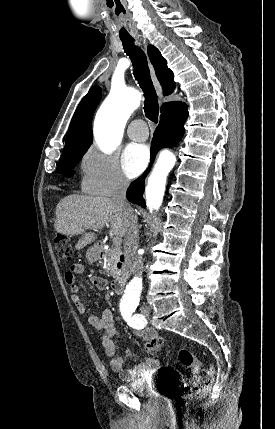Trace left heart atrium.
Here are the masks:
<instances>
[{
  "label": "left heart atrium",
  "mask_w": 275,
  "mask_h": 429,
  "mask_svg": "<svg viewBox=\"0 0 275 429\" xmlns=\"http://www.w3.org/2000/svg\"><path fill=\"white\" fill-rule=\"evenodd\" d=\"M149 161V149L144 144H129L122 157V165L128 177L138 176L146 167Z\"/></svg>",
  "instance_id": "1"
}]
</instances>
